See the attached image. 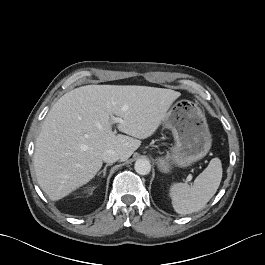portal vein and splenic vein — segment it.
I'll return each instance as SVG.
<instances>
[{"label":"portal vein and splenic vein","mask_w":265,"mask_h":265,"mask_svg":"<svg viewBox=\"0 0 265 265\" xmlns=\"http://www.w3.org/2000/svg\"><path fill=\"white\" fill-rule=\"evenodd\" d=\"M113 120L115 123H123V120L121 118L114 117ZM188 181H190V179Z\"/></svg>","instance_id":"obj_1"}]
</instances>
